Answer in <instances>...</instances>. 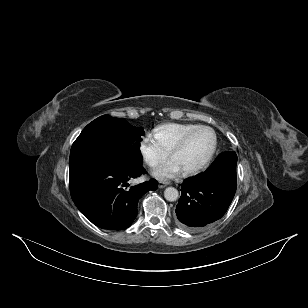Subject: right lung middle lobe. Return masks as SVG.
I'll return each instance as SVG.
<instances>
[{"label": "right lung middle lobe", "instance_id": "dd1d6c3e", "mask_svg": "<svg viewBox=\"0 0 308 308\" xmlns=\"http://www.w3.org/2000/svg\"><path fill=\"white\" fill-rule=\"evenodd\" d=\"M144 130L122 118L103 115L88 124L72 145L69 166L107 164L142 165L140 153Z\"/></svg>", "mask_w": 308, "mask_h": 308}]
</instances>
